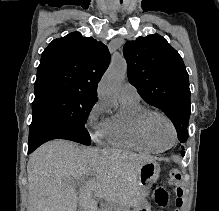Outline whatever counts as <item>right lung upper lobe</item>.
Here are the masks:
<instances>
[{
  "instance_id": "right-lung-upper-lobe-1",
  "label": "right lung upper lobe",
  "mask_w": 219,
  "mask_h": 211,
  "mask_svg": "<svg viewBox=\"0 0 219 211\" xmlns=\"http://www.w3.org/2000/svg\"><path fill=\"white\" fill-rule=\"evenodd\" d=\"M109 62L108 48L92 37L72 32L55 39L42 53L34 93L60 89L96 98Z\"/></svg>"
}]
</instances>
